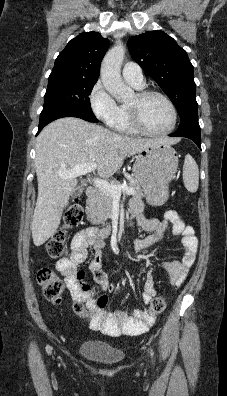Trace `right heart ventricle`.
Here are the masks:
<instances>
[{"label":"right heart ventricle","mask_w":227,"mask_h":396,"mask_svg":"<svg viewBox=\"0 0 227 396\" xmlns=\"http://www.w3.org/2000/svg\"><path fill=\"white\" fill-rule=\"evenodd\" d=\"M109 125L112 129L122 134L134 135L138 133L130 122L126 105H119L118 113Z\"/></svg>","instance_id":"e07e8e85"}]
</instances>
